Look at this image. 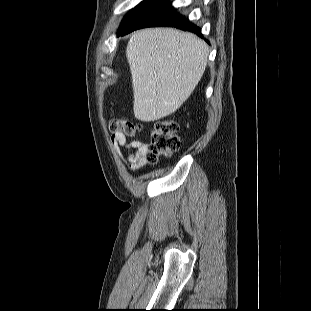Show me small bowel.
Listing matches in <instances>:
<instances>
[{
  "instance_id": "small-bowel-1",
  "label": "small bowel",
  "mask_w": 311,
  "mask_h": 311,
  "mask_svg": "<svg viewBox=\"0 0 311 311\" xmlns=\"http://www.w3.org/2000/svg\"><path fill=\"white\" fill-rule=\"evenodd\" d=\"M112 144L119 158L130 170L136 171L146 164L149 146L145 142L129 140L125 134L117 132L112 136ZM121 148L127 150L126 157L121 154Z\"/></svg>"
}]
</instances>
